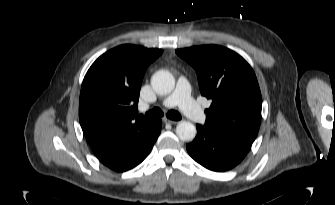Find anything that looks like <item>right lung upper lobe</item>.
Here are the masks:
<instances>
[{
	"instance_id": "cb5924a9",
	"label": "right lung upper lobe",
	"mask_w": 335,
	"mask_h": 205,
	"mask_svg": "<svg viewBox=\"0 0 335 205\" xmlns=\"http://www.w3.org/2000/svg\"><path fill=\"white\" fill-rule=\"evenodd\" d=\"M161 49L120 45L100 56L86 73L79 121L98 158L130 153L158 131L160 119L137 113L144 73Z\"/></svg>"
}]
</instances>
